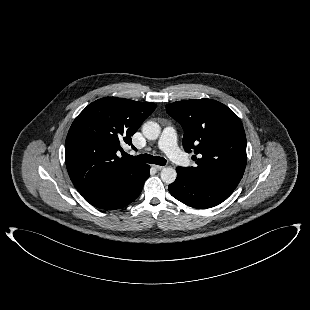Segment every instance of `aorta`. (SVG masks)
<instances>
[{
	"label": "aorta",
	"instance_id": "762f6f07",
	"mask_svg": "<svg viewBox=\"0 0 310 310\" xmlns=\"http://www.w3.org/2000/svg\"><path fill=\"white\" fill-rule=\"evenodd\" d=\"M161 127L154 121L146 122L142 127L143 135L149 140H155L159 137ZM161 179L166 184H171L176 180L177 172L172 167H165L161 170Z\"/></svg>",
	"mask_w": 310,
	"mask_h": 310
}]
</instances>
